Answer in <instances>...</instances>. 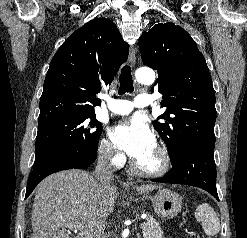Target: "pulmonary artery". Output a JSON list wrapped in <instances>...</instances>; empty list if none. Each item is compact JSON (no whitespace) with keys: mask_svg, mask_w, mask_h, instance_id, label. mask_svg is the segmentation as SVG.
<instances>
[{"mask_svg":"<svg viewBox=\"0 0 247 238\" xmlns=\"http://www.w3.org/2000/svg\"><path fill=\"white\" fill-rule=\"evenodd\" d=\"M107 109L114 114H128L134 108H142L151 105V97L147 94L138 95L134 101L119 100L106 97Z\"/></svg>","mask_w":247,"mask_h":238,"instance_id":"obj_1","label":"pulmonary artery"}]
</instances>
